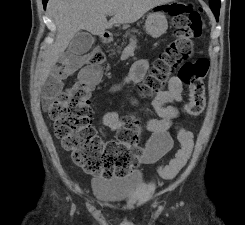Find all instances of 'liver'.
I'll return each instance as SVG.
<instances>
[{
	"label": "liver",
	"mask_w": 245,
	"mask_h": 225,
	"mask_svg": "<svg viewBox=\"0 0 245 225\" xmlns=\"http://www.w3.org/2000/svg\"><path fill=\"white\" fill-rule=\"evenodd\" d=\"M172 0H49L47 10L57 28L55 43L47 51L39 71L43 84L51 68L80 30L102 36L114 24L134 23L150 9ZM114 13L108 22L106 15Z\"/></svg>",
	"instance_id": "obj_1"
}]
</instances>
